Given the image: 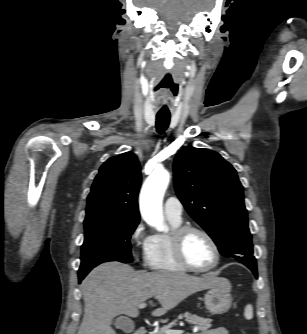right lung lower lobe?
<instances>
[{"mask_svg":"<svg viewBox=\"0 0 307 334\" xmlns=\"http://www.w3.org/2000/svg\"><path fill=\"white\" fill-rule=\"evenodd\" d=\"M85 277V276H84ZM83 276H79V282L84 278Z\"/></svg>","mask_w":307,"mask_h":334,"instance_id":"1","label":"right lung lower lobe"}]
</instances>
